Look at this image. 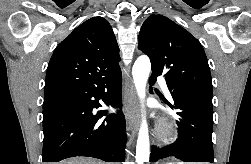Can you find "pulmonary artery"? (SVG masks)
I'll return each mask as SVG.
<instances>
[{"label":"pulmonary artery","mask_w":251,"mask_h":164,"mask_svg":"<svg viewBox=\"0 0 251 164\" xmlns=\"http://www.w3.org/2000/svg\"><path fill=\"white\" fill-rule=\"evenodd\" d=\"M160 82H161V85H162V87H163L165 93H166L167 95H169V91H168V88H167V85H166L165 81H164L162 78H160Z\"/></svg>","instance_id":"obj_1"}]
</instances>
